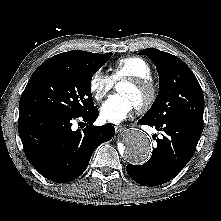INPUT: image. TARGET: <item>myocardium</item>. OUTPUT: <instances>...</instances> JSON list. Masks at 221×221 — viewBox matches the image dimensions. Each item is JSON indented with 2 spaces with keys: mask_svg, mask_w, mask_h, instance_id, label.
I'll return each mask as SVG.
<instances>
[{
  "mask_svg": "<svg viewBox=\"0 0 221 221\" xmlns=\"http://www.w3.org/2000/svg\"><path fill=\"white\" fill-rule=\"evenodd\" d=\"M126 83L131 84L132 86L144 90L147 93L145 100L136 106V109L139 112H145L149 110L152 105L155 103L158 95V90L155 83L151 78H126Z\"/></svg>",
  "mask_w": 221,
  "mask_h": 221,
  "instance_id": "myocardium-1",
  "label": "myocardium"
}]
</instances>
